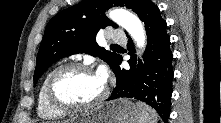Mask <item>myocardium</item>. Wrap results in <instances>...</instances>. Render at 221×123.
Here are the masks:
<instances>
[{
  "label": "myocardium",
  "mask_w": 221,
  "mask_h": 123,
  "mask_svg": "<svg viewBox=\"0 0 221 123\" xmlns=\"http://www.w3.org/2000/svg\"><path fill=\"white\" fill-rule=\"evenodd\" d=\"M69 70H83L88 72L96 73L93 67L89 64L82 63V62H68L56 67L54 70L51 71L46 83V96L49 103L56 109L63 111V112H76V111H87L92 110L99 107L103 102L106 100L108 96V86L104 81V86L101 94L97 99L90 103H69L65 102L58 97L55 91V84L58 77Z\"/></svg>",
  "instance_id": "obj_1"
}]
</instances>
